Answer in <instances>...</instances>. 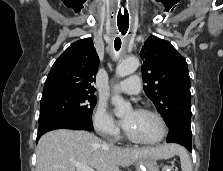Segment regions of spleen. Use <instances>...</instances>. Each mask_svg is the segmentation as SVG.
Listing matches in <instances>:
<instances>
[{
  "mask_svg": "<svg viewBox=\"0 0 223 171\" xmlns=\"http://www.w3.org/2000/svg\"><path fill=\"white\" fill-rule=\"evenodd\" d=\"M176 153L180 157L181 170L193 171L192 162L187 152L182 147L177 146Z\"/></svg>",
  "mask_w": 223,
  "mask_h": 171,
  "instance_id": "spleen-1",
  "label": "spleen"
}]
</instances>
